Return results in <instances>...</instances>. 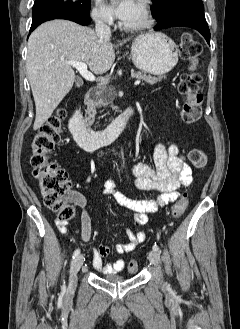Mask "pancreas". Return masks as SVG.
I'll use <instances>...</instances> for the list:
<instances>
[{"instance_id": "1", "label": "pancreas", "mask_w": 240, "mask_h": 329, "mask_svg": "<svg viewBox=\"0 0 240 329\" xmlns=\"http://www.w3.org/2000/svg\"><path fill=\"white\" fill-rule=\"evenodd\" d=\"M132 77L141 79L145 81L146 83H149L151 85L160 82L164 76L154 77L151 75H146L142 72H135L132 74ZM111 100L107 99L105 95L102 93V90L97 92V95L93 98H87L86 105H87V113L91 120V122L95 119L96 115V107L106 106L110 104Z\"/></svg>"}]
</instances>
